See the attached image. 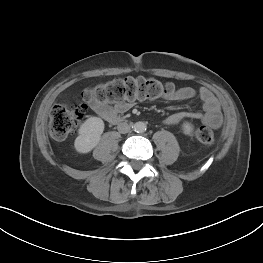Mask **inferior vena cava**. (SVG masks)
Instances as JSON below:
<instances>
[{
    "label": "inferior vena cava",
    "instance_id": "1",
    "mask_svg": "<svg viewBox=\"0 0 263 263\" xmlns=\"http://www.w3.org/2000/svg\"><path fill=\"white\" fill-rule=\"evenodd\" d=\"M117 129L120 133L125 134V133H128L130 131V126L128 123L122 122V123L118 124Z\"/></svg>",
    "mask_w": 263,
    "mask_h": 263
}]
</instances>
